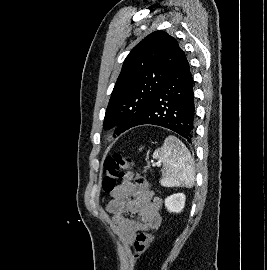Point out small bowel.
Returning a JSON list of instances; mask_svg holds the SVG:
<instances>
[{
	"label": "small bowel",
	"mask_w": 267,
	"mask_h": 270,
	"mask_svg": "<svg viewBox=\"0 0 267 270\" xmlns=\"http://www.w3.org/2000/svg\"><path fill=\"white\" fill-rule=\"evenodd\" d=\"M111 197L106 209L113 215L114 230L125 245L132 246L138 232L160 226L159 199L147 185L136 184L131 174L111 192Z\"/></svg>",
	"instance_id": "small-bowel-1"
}]
</instances>
